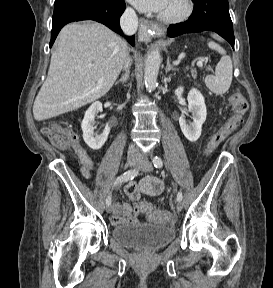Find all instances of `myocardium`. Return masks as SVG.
<instances>
[{"label":"myocardium","instance_id":"f54148a6","mask_svg":"<svg viewBox=\"0 0 273 288\" xmlns=\"http://www.w3.org/2000/svg\"><path fill=\"white\" fill-rule=\"evenodd\" d=\"M184 10L177 15L168 16L164 14H159L158 19L164 23H180L188 19L194 10V2L193 0H184Z\"/></svg>","mask_w":273,"mask_h":288}]
</instances>
